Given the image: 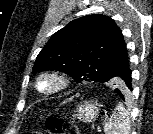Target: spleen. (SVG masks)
Returning <instances> with one entry per match:
<instances>
[{
  "instance_id": "obj_1",
  "label": "spleen",
  "mask_w": 153,
  "mask_h": 134,
  "mask_svg": "<svg viewBox=\"0 0 153 134\" xmlns=\"http://www.w3.org/2000/svg\"><path fill=\"white\" fill-rule=\"evenodd\" d=\"M130 118L124 105L119 103L104 125L105 134H129Z\"/></svg>"
}]
</instances>
